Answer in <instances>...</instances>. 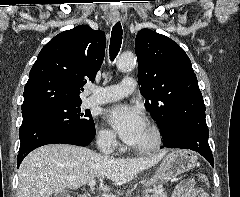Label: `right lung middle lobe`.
Returning <instances> with one entry per match:
<instances>
[{
	"label": "right lung middle lobe",
	"mask_w": 240,
	"mask_h": 197,
	"mask_svg": "<svg viewBox=\"0 0 240 197\" xmlns=\"http://www.w3.org/2000/svg\"><path fill=\"white\" fill-rule=\"evenodd\" d=\"M82 102H52L40 106L22 110L25 115L49 116L74 127L75 130L88 133L94 129V122L91 114L81 112Z\"/></svg>",
	"instance_id": "obj_1"
}]
</instances>
